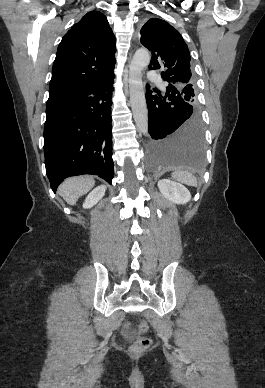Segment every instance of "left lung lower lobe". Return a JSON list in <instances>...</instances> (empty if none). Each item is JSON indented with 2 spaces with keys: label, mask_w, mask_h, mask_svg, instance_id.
I'll return each mask as SVG.
<instances>
[{
  "label": "left lung lower lobe",
  "mask_w": 265,
  "mask_h": 388,
  "mask_svg": "<svg viewBox=\"0 0 265 388\" xmlns=\"http://www.w3.org/2000/svg\"><path fill=\"white\" fill-rule=\"evenodd\" d=\"M146 101L150 165L200 170L204 161V134L197 107L186 103L180 92L170 86L162 96L159 92L152 95L147 85Z\"/></svg>",
  "instance_id": "obj_1"
}]
</instances>
